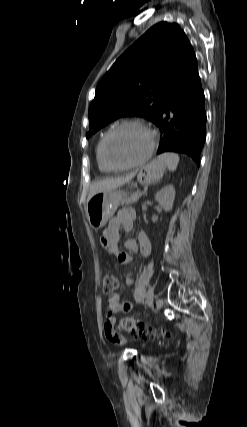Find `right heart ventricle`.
Instances as JSON below:
<instances>
[{
    "label": "right heart ventricle",
    "mask_w": 247,
    "mask_h": 427,
    "mask_svg": "<svg viewBox=\"0 0 247 427\" xmlns=\"http://www.w3.org/2000/svg\"><path fill=\"white\" fill-rule=\"evenodd\" d=\"M106 133H104V135L99 139V141L96 145V150H95L96 162H97L98 168L103 173L111 172V170L104 164L102 157H101V145H102V141H103V138L106 135Z\"/></svg>",
    "instance_id": "1"
}]
</instances>
